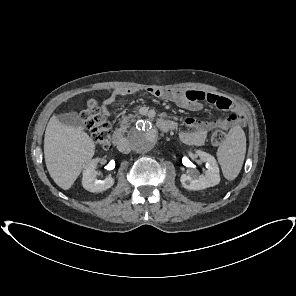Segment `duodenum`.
I'll return each instance as SVG.
<instances>
[{
	"instance_id": "duodenum-1",
	"label": "duodenum",
	"mask_w": 296,
	"mask_h": 296,
	"mask_svg": "<svg viewBox=\"0 0 296 296\" xmlns=\"http://www.w3.org/2000/svg\"><path fill=\"white\" fill-rule=\"evenodd\" d=\"M157 124H158V127L163 131H169L175 127L173 122L166 119H159ZM112 141H113V144L120 149V151L122 152L128 151V145L124 140V136L121 130H116L113 133Z\"/></svg>"
}]
</instances>
